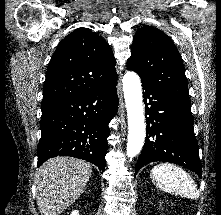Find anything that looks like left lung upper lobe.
I'll return each mask as SVG.
<instances>
[{
	"label": "left lung upper lobe",
	"instance_id": "5c2ea615",
	"mask_svg": "<svg viewBox=\"0 0 221 215\" xmlns=\"http://www.w3.org/2000/svg\"><path fill=\"white\" fill-rule=\"evenodd\" d=\"M127 68L141 81L161 91L189 99L183 62L173 41L151 26L140 28L134 38Z\"/></svg>",
	"mask_w": 221,
	"mask_h": 215
}]
</instances>
